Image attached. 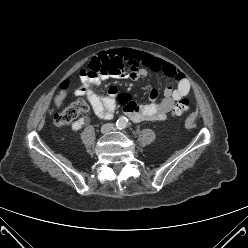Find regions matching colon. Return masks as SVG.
<instances>
[{"label": "colon", "mask_w": 248, "mask_h": 248, "mask_svg": "<svg viewBox=\"0 0 248 248\" xmlns=\"http://www.w3.org/2000/svg\"><path fill=\"white\" fill-rule=\"evenodd\" d=\"M122 62L118 58L115 57H107L104 60L100 61H91L86 68V74L88 76H95L98 74H105V73H114L117 71L122 70ZM70 88V84L65 83L61 85L60 90L56 97V102L59 104L63 101L68 93ZM131 99L127 95H121L119 97V103L125 107V105ZM191 107V102L187 98H182L177 102L172 110L173 116H179L185 112H187ZM88 106L83 100H77L70 106L64 108L63 110L57 112L54 116V123L59 126H65L71 123L77 116L85 111H87Z\"/></svg>", "instance_id": "colon-1"}]
</instances>
